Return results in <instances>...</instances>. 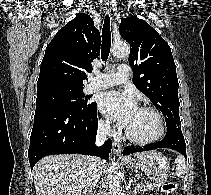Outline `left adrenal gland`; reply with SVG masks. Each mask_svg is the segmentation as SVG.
Segmentation results:
<instances>
[{"label": "left adrenal gland", "instance_id": "a2214340", "mask_svg": "<svg viewBox=\"0 0 211 195\" xmlns=\"http://www.w3.org/2000/svg\"><path fill=\"white\" fill-rule=\"evenodd\" d=\"M130 186H131V181L129 182V184L128 183L126 184V189L127 190L130 189Z\"/></svg>", "mask_w": 211, "mask_h": 195}]
</instances>
